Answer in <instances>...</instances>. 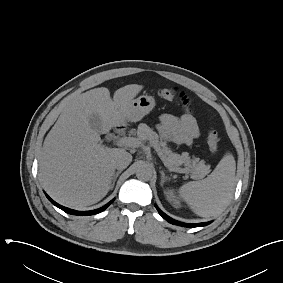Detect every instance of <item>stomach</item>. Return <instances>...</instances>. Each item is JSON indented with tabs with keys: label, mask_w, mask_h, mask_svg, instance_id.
Listing matches in <instances>:
<instances>
[{
	"label": "stomach",
	"mask_w": 283,
	"mask_h": 283,
	"mask_svg": "<svg viewBox=\"0 0 283 283\" xmlns=\"http://www.w3.org/2000/svg\"><path fill=\"white\" fill-rule=\"evenodd\" d=\"M155 99L150 95H141L131 100L124 110V121L136 122L149 114L155 107Z\"/></svg>",
	"instance_id": "obj_1"
}]
</instances>
